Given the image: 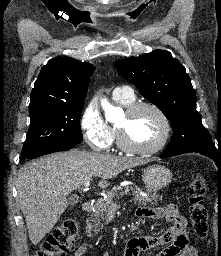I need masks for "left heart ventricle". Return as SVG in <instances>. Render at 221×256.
<instances>
[{"label": "left heart ventricle", "instance_id": "obj_1", "mask_svg": "<svg viewBox=\"0 0 221 256\" xmlns=\"http://www.w3.org/2000/svg\"><path fill=\"white\" fill-rule=\"evenodd\" d=\"M118 127L129 144L141 148L154 145L162 134L161 120L150 109H142L131 117L124 115Z\"/></svg>", "mask_w": 221, "mask_h": 256}]
</instances>
